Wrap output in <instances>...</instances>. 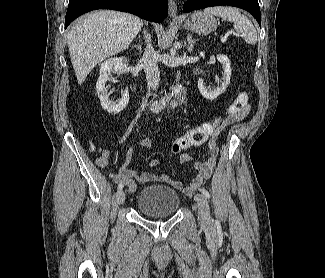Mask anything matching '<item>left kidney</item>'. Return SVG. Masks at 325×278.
Here are the masks:
<instances>
[{
	"instance_id": "left-kidney-1",
	"label": "left kidney",
	"mask_w": 325,
	"mask_h": 278,
	"mask_svg": "<svg viewBox=\"0 0 325 278\" xmlns=\"http://www.w3.org/2000/svg\"><path fill=\"white\" fill-rule=\"evenodd\" d=\"M217 60L223 65V79L220 85L214 90H211L210 88H206L204 85V82L202 79L198 80V88L201 93V95L208 99V100H214L219 95L225 92L228 84L230 83V77H231V63L230 60L226 55H217Z\"/></svg>"
}]
</instances>
